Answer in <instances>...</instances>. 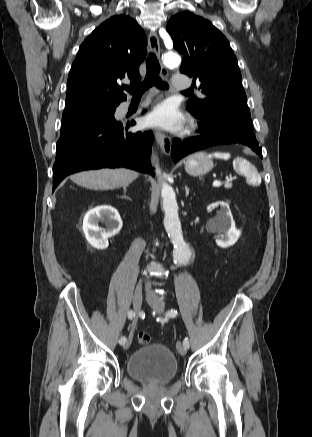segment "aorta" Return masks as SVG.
<instances>
[{"instance_id":"762f6f07","label":"aorta","mask_w":312,"mask_h":437,"mask_svg":"<svg viewBox=\"0 0 312 437\" xmlns=\"http://www.w3.org/2000/svg\"><path fill=\"white\" fill-rule=\"evenodd\" d=\"M180 62V57L175 53H167L164 56V64L167 67H177ZM157 174H160L159 170H157ZM161 197L165 213L164 227L174 244V261L180 264L190 258L191 250L183 239L175 192L170 185L164 182L162 183Z\"/></svg>"}]
</instances>
